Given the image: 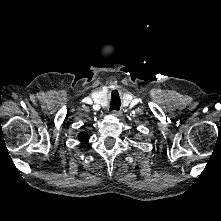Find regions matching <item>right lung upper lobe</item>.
<instances>
[{
	"mask_svg": "<svg viewBox=\"0 0 221 221\" xmlns=\"http://www.w3.org/2000/svg\"><path fill=\"white\" fill-rule=\"evenodd\" d=\"M78 136L82 143H87L89 141V135L87 133L81 132Z\"/></svg>",
	"mask_w": 221,
	"mask_h": 221,
	"instance_id": "cb5924a9",
	"label": "right lung upper lobe"
}]
</instances>
